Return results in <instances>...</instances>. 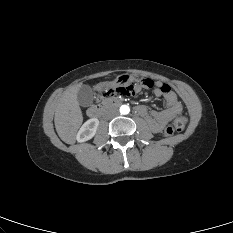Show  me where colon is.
Here are the masks:
<instances>
[{
    "label": "colon",
    "mask_w": 233,
    "mask_h": 233,
    "mask_svg": "<svg viewBox=\"0 0 233 233\" xmlns=\"http://www.w3.org/2000/svg\"><path fill=\"white\" fill-rule=\"evenodd\" d=\"M143 87L146 88H152L155 85V82L152 79H144L141 82ZM168 88L166 86L163 87V90H167ZM114 93H117L119 95L124 96H130L136 93L134 82L128 87L122 86L120 88L110 89L106 92V95H112ZM187 125V118L185 116H177L175 117L172 122L166 127L165 129V135L171 136L175 134L176 132H180L184 130V128Z\"/></svg>",
    "instance_id": "colon-1"
}]
</instances>
